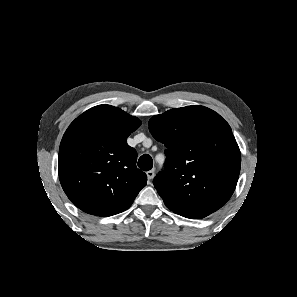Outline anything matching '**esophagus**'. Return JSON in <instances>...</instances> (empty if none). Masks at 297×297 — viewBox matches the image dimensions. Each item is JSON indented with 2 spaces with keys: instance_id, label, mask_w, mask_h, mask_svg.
I'll use <instances>...</instances> for the list:
<instances>
[{
  "instance_id": "obj_1",
  "label": "esophagus",
  "mask_w": 297,
  "mask_h": 297,
  "mask_svg": "<svg viewBox=\"0 0 297 297\" xmlns=\"http://www.w3.org/2000/svg\"><path fill=\"white\" fill-rule=\"evenodd\" d=\"M146 174H147L148 179L152 180L154 178L155 171L154 170H149Z\"/></svg>"
}]
</instances>
